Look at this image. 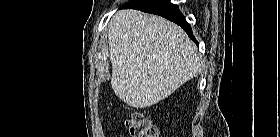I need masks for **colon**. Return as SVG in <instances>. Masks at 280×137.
Listing matches in <instances>:
<instances>
[{
  "mask_svg": "<svg viewBox=\"0 0 280 137\" xmlns=\"http://www.w3.org/2000/svg\"><path fill=\"white\" fill-rule=\"evenodd\" d=\"M126 126L133 137H157L158 128L141 111L130 114Z\"/></svg>",
  "mask_w": 280,
  "mask_h": 137,
  "instance_id": "colon-1",
  "label": "colon"
}]
</instances>
